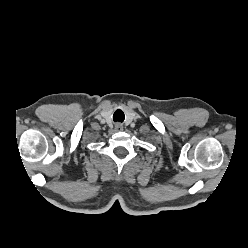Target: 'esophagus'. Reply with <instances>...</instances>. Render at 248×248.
<instances>
[{"instance_id":"34e87169","label":"esophagus","mask_w":248,"mask_h":248,"mask_svg":"<svg viewBox=\"0 0 248 248\" xmlns=\"http://www.w3.org/2000/svg\"><path fill=\"white\" fill-rule=\"evenodd\" d=\"M115 129H116V131H122V130H123L122 124L116 123V124H115Z\"/></svg>"}]
</instances>
